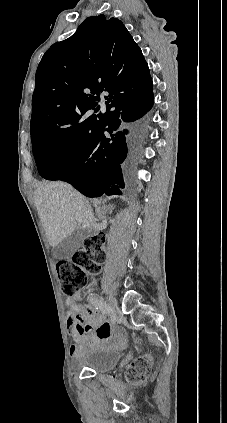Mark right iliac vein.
I'll use <instances>...</instances> for the list:
<instances>
[{"instance_id":"obj_1","label":"right iliac vein","mask_w":227,"mask_h":423,"mask_svg":"<svg viewBox=\"0 0 227 423\" xmlns=\"http://www.w3.org/2000/svg\"><path fill=\"white\" fill-rule=\"evenodd\" d=\"M109 304H110V307H111L112 310L115 311L117 309V303L114 299L109 298Z\"/></svg>"}]
</instances>
